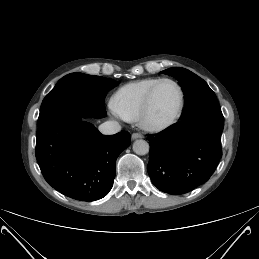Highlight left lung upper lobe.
<instances>
[{"mask_svg":"<svg viewBox=\"0 0 259 259\" xmlns=\"http://www.w3.org/2000/svg\"><path fill=\"white\" fill-rule=\"evenodd\" d=\"M162 73L175 77L183 89L185 95V110L183 119L199 113L209 111H221L215 93L207 83L193 72L181 68H169Z\"/></svg>","mask_w":259,"mask_h":259,"instance_id":"obj_1","label":"left lung upper lobe"}]
</instances>
